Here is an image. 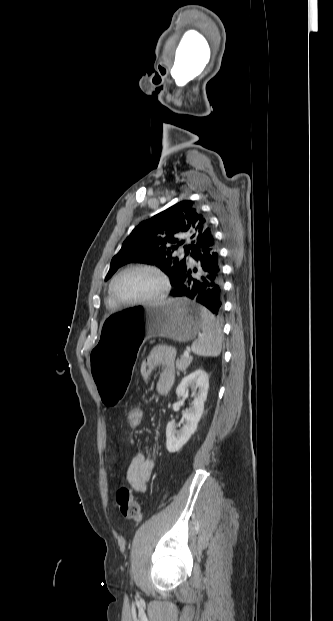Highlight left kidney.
<instances>
[{
  "mask_svg": "<svg viewBox=\"0 0 333 621\" xmlns=\"http://www.w3.org/2000/svg\"><path fill=\"white\" fill-rule=\"evenodd\" d=\"M190 388L194 394L191 406L183 413L185 423L176 430L173 421L168 422L166 427V448L170 453L179 451L196 431L198 422L204 411V403L207 399L209 388V376L204 370L195 372L184 377L176 389L177 398H186V391Z\"/></svg>",
  "mask_w": 333,
  "mask_h": 621,
  "instance_id": "obj_1",
  "label": "left kidney"
}]
</instances>
